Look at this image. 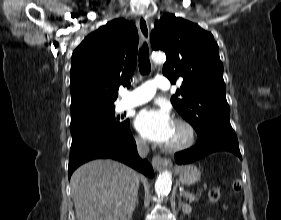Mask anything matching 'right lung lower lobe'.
Wrapping results in <instances>:
<instances>
[{"label":"right lung lower lobe","mask_w":281,"mask_h":220,"mask_svg":"<svg viewBox=\"0 0 281 220\" xmlns=\"http://www.w3.org/2000/svg\"><path fill=\"white\" fill-rule=\"evenodd\" d=\"M100 158L118 160L148 177L154 176L152 166L139 157L129 126L117 132L93 130L72 136L69 177L83 163Z\"/></svg>","instance_id":"obj_1"}]
</instances>
